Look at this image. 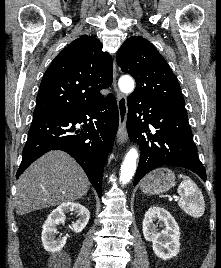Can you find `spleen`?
<instances>
[{"instance_id": "3e777b00", "label": "spleen", "mask_w": 221, "mask_h": 268, "mask_svg": "<svg viewBox=\"0 0 221 268\" xmlns=\"http://www.w3.org/2000/svg\"><path fill=\"white\" fill-rule=\"evenodd\" d=\"M178 177L183 179L177 189L180 195L178 205L190 216L201 217L205 211V202L201 191L188 176L179 174Z\"/></svg>"}]
</instances>
